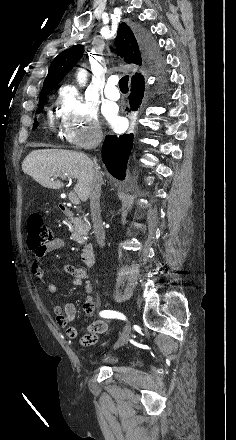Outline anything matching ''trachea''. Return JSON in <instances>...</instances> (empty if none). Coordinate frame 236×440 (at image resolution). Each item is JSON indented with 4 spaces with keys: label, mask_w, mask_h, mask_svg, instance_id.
<instances>
[{
    "label": "trachea",
    "mask_w": 236,
    "mask_h": 440,
    "mask_svg": "<svg viewBox=\"0 0 236 440\" xmlns=\"http://www.w3.org/2000/svg\"><path fill=\"white\" fill-rule=\"evenodd\" d=\"M128 81H129V76L125 75L123 76L120 80H119V88L121 91H128Z\"/></svg>",
    "instance_id": "3493384b"
}]
</instances>
